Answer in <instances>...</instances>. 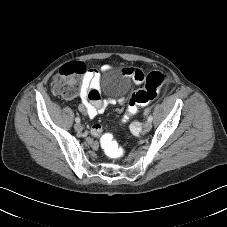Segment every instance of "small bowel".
Listing matches in <instances>:
<instances>
[{"instance_id": "obj_1", "label": "small bowel", "mask_w": 227, "mask_h": 227, "mask_svg": "<svg viewBox=\"0 0 227 227\" xmlns=\"http://www.w3.org/2000/svg\"><path fill=\"white\" fill-rule=\"evenodd\" d=\"M111 65H104L101 69L95 68H86L82 77V84H81V91H80V98L81 103L79 104V111L88 118H94L98 114H100L106 107V102L102 100L100 97L97 101H93L90 99V91L92 89H96L99 92V81H100V74L101 72H107L111 70ZM142 72V78L140 80H134L136 84L142 83L144 77L146 76L144 71L136 68L129 69L130 72L135 71ZM70 99V97H66ZM140 126L138 124H133L131 126V131L134 135L139 133ZM92 137L88 138V144L93 148L97 149L99 144L97 138L102 135V128L99 124H94L90 129Z\"/></svg>"}]
</instances>
